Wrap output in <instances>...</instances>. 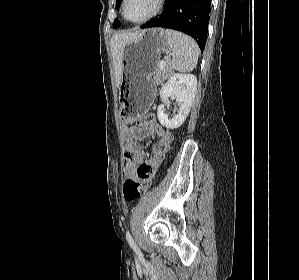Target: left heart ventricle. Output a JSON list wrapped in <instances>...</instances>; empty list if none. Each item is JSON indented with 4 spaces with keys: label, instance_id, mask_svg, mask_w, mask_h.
I'll use <instances>...</instances> for the list:
<instances>
[{
    "label": "left heart ventricle",
    "instance_id": "b2bd125f",
    "mask_svg": "<svg viewBox=\"0 0 299 280\" xmlns=\"http://www.w3.org/2000/svg\"><path fill=\"white\" fill-rule=\"evenodd\" d=\"M156 0H128L125 13L130 20H140L152 12Z\"/></svg>",
    "mask_w": 299,
    "mask_h": 280
}]
</instances>
